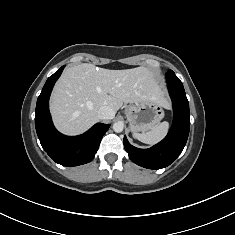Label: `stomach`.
<instances>
[{"instance_id": "stomach-1", "label": "stomach", "mask_w": 235, "mask_h": 235, "mask_svg": "<svg viewBox=\"0 0 235 235\" xmlns=\"http://www.w3.org/2000/svg\"><path fill=\"white\" fill-rule=\"evenodd\" d=\"M125 115L130 130L135 134L153 129L164 118L165 113L162 105L147 99L127 105Z\"/></svg>"}]
</instances>
